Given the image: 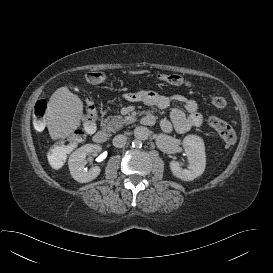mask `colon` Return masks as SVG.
<instances>
[{
  "label": "colon",
  "mask_w": 273,
  "mask_h": 273,
  "mask_svg": "<svg viewBox=\"0 0 273 273\" xmlns=\"http://www.w3.org/2000/svg\"><path fill=\"white\" fill-rule=\"evenodd\" d=\"M156 78L163 82L174 86L186 85L188 82L178 74H157ZM86 80L91 84H100L105 80V73L100 70H91L86 74ZM212 105L216 108H224L226 100L221 96L212 98ZM47 101L40 99L36 102L33 109V122L37 130H43L46 126ZM98 109L95 103L89 98L86 101V112L82 117V128L75 131L63 145H58L51 152V158L56 154H62L68 151L74 144L81 142L84 138V132H92L97 126ZM210 127L215 129L224 142L228 145L235 144L237 140L236 132L227 122L218 117L210 116L207 119ZM52 164L59 167L60 161L57 158H52Z\"/></svg>",
  "instance_id": "5ec220e1"
}]
</instances>
